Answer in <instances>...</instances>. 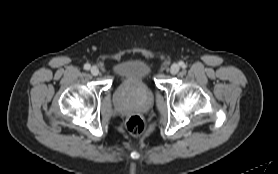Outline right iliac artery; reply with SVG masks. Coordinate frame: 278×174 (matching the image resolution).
I'll return each mask as SVG.
<instances>
[{"mask_svg": "<svg viewBox=\"0 0 278 174\" xmlns=\"http://www.w3.org/2000/svg\"><path fill=\"white\" fill-rule=\"evenodd\" d=\"M90 67H91V66H90V64H88V63H86V64L84 65V69H85V70H89Z\"/></svg>", "mask_w": 278, "mask_h": 174, "instance_id": "obj_1", "label": "right iliac artery"}]
</instances>
